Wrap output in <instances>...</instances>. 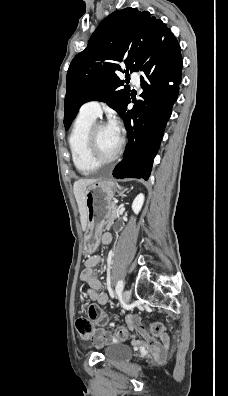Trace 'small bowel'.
Here are the masks:
<instances>
[{"label": "small bowel", "mask_w": 228, "mask_h": 396, "mask_svg": "<svg viewBox=\"0 0 228 396\" xmlns=\"http://www.w3.org/2000/svg\"><path fill=\"white\" fill-rule=\"evenodd\" d=\"M102 244L109 245L112 241V236L109 233H105L102 236ZM102 262L100 255H92L85 261L84 269L81 272L80 279L88 285L86 297L96 302L99 305H105L108 302V295L101 291L102 283L95 276V268ZM127 325L129 329H137L139 333L145 338L147 344L152 348L153 355L159 362H164L168 356L169 339L166 335H161L162 342H158L155 338L146 335L144 329L141 328L140 318L135 315L127 316ZM93 343L100 345L109 341H116L117 338L109 331L100 328L95 331L92 338Z\"/></svg>", "instance_id": "small-bowel-1"}]
</instances>
